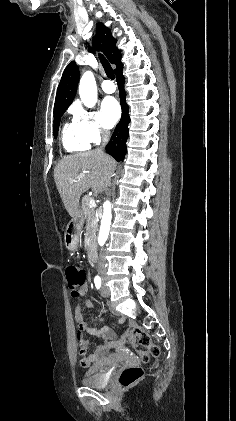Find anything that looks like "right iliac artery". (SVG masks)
I'll use <instances>...</instances> for the list:
<instances>
[{"mask_svg":"<svg viewBox=\"0 0 236 421\" xmlns=\"http://www.w3.org/2000/svg\"><path fill=\"white\" fill-rule=\"evenodd\" d=\"M94 283H95L96 288L97 289H100V287H101V278H100V276H96L94 278Z\"/></svg>","mask_w":236,"mask_h":421,"instance_id":"82829eb1","label":"right iliac artery"}]
</instances>
